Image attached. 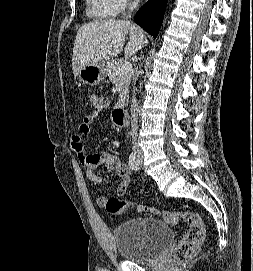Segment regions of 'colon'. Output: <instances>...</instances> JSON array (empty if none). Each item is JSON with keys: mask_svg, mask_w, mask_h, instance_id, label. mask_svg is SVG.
Returning <instances> with one entry per match:
<instances>
[{"mask_svg": "<svg viewBox=\"0 0 253 271\" xmlns=\"http://www.w3.org/2000/svg\"><path fill=\"white\" fill-rule=\"evenodd\" d=\"M90 101L94 112L99 113L105 109L107 100L103 95L93 93ZM103 207L113 215H119L127 211L130 207H135L138 211L149 212L160 216L165 222L171 225H177L186 221V227L182 239L177 244L174 251V258L178 262L188 261L196 252L198 246L204 241L206 231L202 216L195 211L171 212L160 210L154 207L140 206L128 201L109 198Z\"/></svg>", "mask_w": 253, "mask_h": 271, "instance_id": "colon-1", "label": "colon"}]
</instances>
